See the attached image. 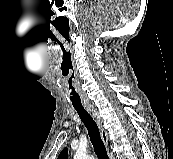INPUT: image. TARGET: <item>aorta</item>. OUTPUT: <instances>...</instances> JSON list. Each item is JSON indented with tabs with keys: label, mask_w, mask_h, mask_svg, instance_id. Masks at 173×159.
I'll list each match as a JSON object with an SVG mask.
<instances>
[{
	"label": "aorta",
	"mask_w": 173,
	"mask_h": 159,
	"mask_svg": "<svg viewBox=\"0 0 173 159\" xmlns=\"http://www.w3.org/2000/svg\"><path fill=\"white\" fill-rule=\"evenodd\" d=\"M74 159H93V157L87 155L85 152L83 151H77L75 156H74Z\"/></svg>",
	"instance_id": "762f6f07"
}]
</instances>
